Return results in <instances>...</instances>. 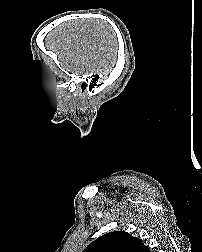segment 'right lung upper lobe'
<instances>
[{
	"label": "right lung upper lobe",
	"mask_w": 202,
	"mask_h": 252,
	"mask_svg": "<svg viewBox=\"0 0 202 252\" xmlns=\"http://www.w3.org/2000/svg\"><path fill=\"white\" fill-rule=\"evenodd\" d=\"M83 252H150V249L129 233L115 231L96 239Z\"/></svg>",
	"instance_id": "obj_1"
}]
</instances>
